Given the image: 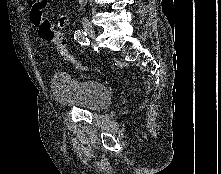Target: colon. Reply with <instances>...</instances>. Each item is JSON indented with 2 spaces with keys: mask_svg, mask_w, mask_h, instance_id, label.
<instances>
[{
  "mask_svg": "<svg viewBox=\"0 0 221 174\" xmlns=\"http://www.w3.org/2000/svg\"><path fill=\"white\" fill-rule=\"evenodd\" d=\"M39 35L42 39L48 42H52L55 45L57 53L68 60L70 63L75 65L78 69L82 71L88 70V67L81 63L78 59L72 56L62 38L58 28H55L51 22L44 19L38 28Z\"/></svg>",
  "mask_w": 221,
  "mask_h": 174,
  "instance_id": "colon-1",
  "label": "colon"
}]
</instances>
